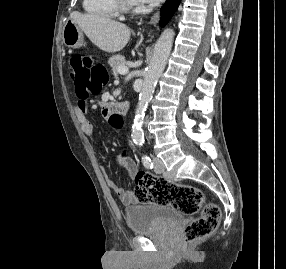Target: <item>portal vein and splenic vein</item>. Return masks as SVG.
Instances as JSON below:
<instances>
[{
  "label": "portal vein and splenic vein",
  "instance_id": "portal-vein-and-splenic-vein-1",
  "mask_svg": "<svg viewBox=\"0 0 286 269\" xmlns=\"http://www.w3.org/2000/svg\"><path fill=\"white\" fill-rule=\"evenodd\" d=\"M128 72H129V69L126 66L125 67H120L118 69V73L121 74V75H126Z\"/></svg>",
  "mask_w": 286,
  "mask_h": 269
}]
</instances>
